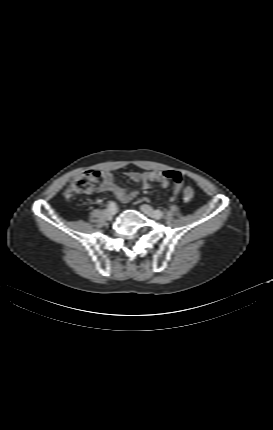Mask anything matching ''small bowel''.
<instances>
[{
    "label": "small bowel",
    "mask_w": 273,
    "mask_h": 430,
    "mask_svg": "<svg viewBox=\"0 0 273 430\" xmlns=\"http://www.w3.org/2000/svg\"><path fill=\"white\" fill-rule=\"evenodd\" d=\"M102 182L98 187L100 192H109L113 194L120 202H129L134 199L139 190L148 189L153 183L159 184L162 188H167L171 181H174V192L170 200H174L182 189L180 175L171 170L167 171H148V172H127V176L134 182L140 184L139 189L127 192L124 188L114 182L113 175L110 171H101Z\"/></svg>",
    "instance_id": "1"
}]
</instances>
